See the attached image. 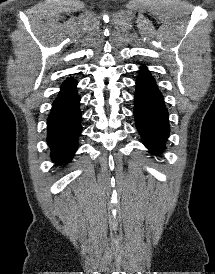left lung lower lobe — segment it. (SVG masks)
<instances>
[{"label":"left lung lower lobe","instance_id":"1","mask_svg":"<svg viewBox=\"0 0 215 274\" xmlns=\"http://www.w3.org/2000/svg\"><path fill=\"white\" fill-rule=\"evenodd\" d=\"M136 128L152 153H160L169 136L168 112L163 96L146 67H141L134 94Z\"/></svg>","mask_w":215,"mask_h":274}]
</instances>
